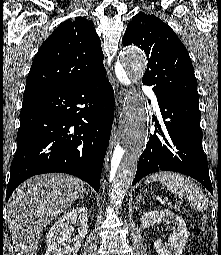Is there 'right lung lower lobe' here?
Segmentation results:
<instances>
[{
    "label": "right lung lower lobe",
    "instance_id": "right-lung-lower-lobe-1",
    "mask_svg": "<svg viewBox=\"0 0 221 255\" xmlns=\"http://www.w3.org/2000/svg\"><path fill=\"white\" fill-rule=\"evenodd\" d=\"M113 117L114 92L106 72L24 97L6 201L26 179L51 172L77 176L99 192Z\"/></svg>",
    "mask_w": 221,
    "mask_h": 255
}]
</instances>
